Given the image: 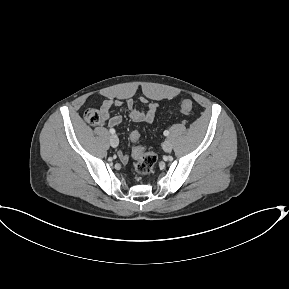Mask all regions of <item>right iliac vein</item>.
Wrapping results in <instances>:
<instances>
[{
	"label": "right iliac vein",
	"mask_w": 289,
	"mask_h": 289,
	"mask_svg": "<svg viewBox=\"0 0 289 289\" xmlns=\"http://www.w3.org/2000/svg\"><path fill=\"white\" fill-rule=\"evenodd\" d=\"M118 144H119V139H118V137H117L116 135L113 134V135L110 137V145H111L112 147H117Z\"/></svg>",
	"instance_id": "right-iliac-vein-1"
}]
</instances>
